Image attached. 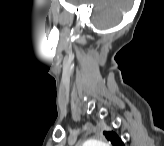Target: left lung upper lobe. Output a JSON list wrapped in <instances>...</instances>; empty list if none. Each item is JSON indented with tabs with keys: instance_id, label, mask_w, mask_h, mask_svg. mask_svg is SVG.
I'll list each match as a JSON object with an SVG mask.
<instances>
[{
	"instance_id": "left-lung-upper-lobe-1",
	"label": "left lung upper lobe",
	"mask_w": 164,
	"mask_h": 146,
	"mask_svg": "<svg viewBox=\"0 0 164 146\" xmlns=\"http://www.w3.org/2000/svg\"><path fill=\"white\" fill-rule=\"evenodd\" d=\"M106 139L111 142L113 146H124L120 137L113 131H104Z\"/></svg>"
}]
</instances>
